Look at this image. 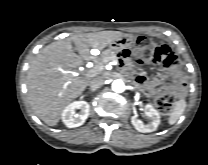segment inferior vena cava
Returning a JSON list of instances; mask_svg holds the SVG:
<instances>
[{
    "label": "inferior vena cava",
    "instance_id": "obj_1",
    "mask_svg": "<svg viewBox=\"0 0 208 165\" xmlns=\"http://www.w3.org/2000/svg\"><path fill=\"white\" fill-rule=\"evenodd\" d=\"M104 83V80L100 77L94 78L89 82V89L96 90L101 87Z\"/></svg>",
    "mask_w": 208,
    "mask_h": 165
}]
</instances>
